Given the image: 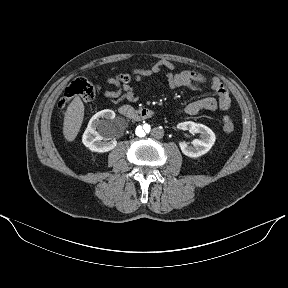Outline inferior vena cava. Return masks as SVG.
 Here are the masks:
<instances>
[{
    "label": "inferior vena cava",
    "mask_w": 288,
    "mask_h": 288,
    "mask_svg": "<svg viewBox=\"0 0 288 288\" xmlns=\"http://www.w3.org/2000/svg\"><path fill=\"white\" fill-rule=\"evenodd\" d=\"M150 136L154 140H161L164 137V130L161 127H154L150 131Z\"/></svg>",
    "instance_id": "obj_1"
}]
</instances>
